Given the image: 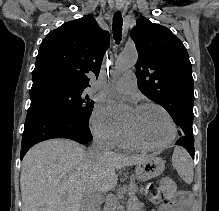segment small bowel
Instances as JSON below:
<instances>
[{"instance_id":"c3829d8e","label":"small bowel","mask_w":219,"mask_h":211,"mask_svg":"<svg viewBox=\"0 0 219 211\" xmlns=\"http://www.w3.org/2000/svg\"><path fill=\"white\" fill-rule=\"evenodd\" d=\"M149 199L153 204H159V211H191L193 197L188 193H181L179 201L162 200L157 191H150Z\"/></svg>"}]
</instances>
